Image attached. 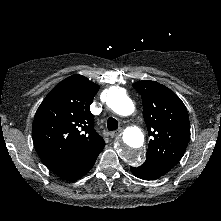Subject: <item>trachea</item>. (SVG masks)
<instances>
[{
	"label": "trachea",
	"mask_w": 221,
	"mask_h": 221,
	"mask_svg": "<svg viewBox=\"0 0 221 221\" xmlns=\"http://www.w3.org/2000/svg\"><path fill=\"white\" fill-rule=\"evenodd\" d=\"M107 128L110 131H114V130L118 129V121L113 117L108 118Z\"/></svg>",
	"instance_id": "obj_1"
}]
</instances>
